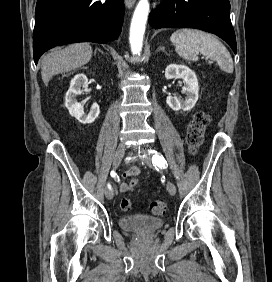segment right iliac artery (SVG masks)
<instances>
[{"label":"right iliac artery","instance_id":"right-iliac-artery-1","mask_svg":"<svg viewBox=\"0 0 272 282\" xmlns=\"http://www.w3.org/2000/svg\"><path fill=\"white\" fill-rule=\"evenodd\" d=\"M115 175H116L115 171H112V172H111V176H112V177H115ZM108 187H110V184H108Z\"/></svg>","mask_w":272,"mask_h":282}]
</instances>
